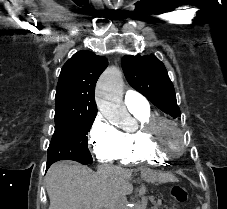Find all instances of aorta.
I'll list each match as a JSON object with an SVG mask.
<instances>
[{
	"label": "aorta",
	"mask_w": 227,
	"mask_h": 209,
	"mask_svg": "<svg viewBox=\"0 0 227 209\" xmlns=\"http://www.w3.org/2000/svg\"><path fill=\"white\" fill-rule=\"evenodd\" d=\"M123 79L117 67L108 68L99 78L96 87V101L99 110L109 120L127 116L128 112L122 101ZM136 204L133 209H142Z\"/></svg>",
	"instance_id": "762f6f07"
}]
</instances>
